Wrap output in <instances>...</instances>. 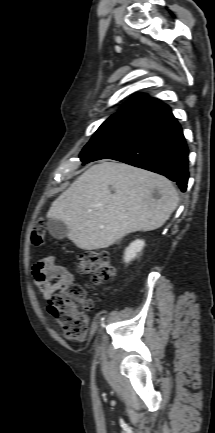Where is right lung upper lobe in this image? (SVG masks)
<instances>
[{
	"instance_id": "1",
	"label": "right lung upper lobe",
	"mask_w": 215,
	"mask_h": 433,
	"mask_svg": "<svg viewBox=\"0 0 215 433\" xmlns=\"http://www.w3.org/2000/svg\"><path fill=\"white\" fill-rule=\"evenodd\" d=\"M145 97V94L133 95L130 100L132 103L128 107L121 109L107 120L129 117L150 119L156 113L167 107L166 104H163L158 99H145Z\"/></svg>"
}]
</instances>
